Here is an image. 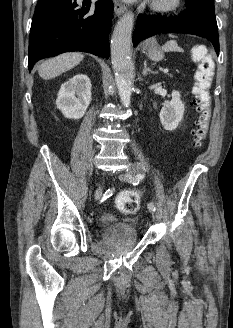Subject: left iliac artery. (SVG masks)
<instances>
[{
	"label": "left iliac artery",
	"instance_id": "left-iliac-artery-1",
	"mask_svg": "<svg viewBox=\"0 0 233 328\" xmlns=\"http://www.w3.org/2000/svg\"><path fill=\"white\" fill-rule=\"evenodd\" d=\"M144 178L143 174H137L135 176V179H133L132 183L133 185H138L139 182ZM148 209L151 211H155L156 210V206L153 203H149L148 204Z\"/></svg>",
	"mask_w": 233,
	"mask_h": 328
}]
</instances>
